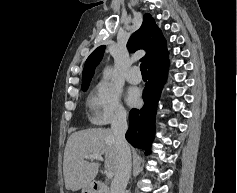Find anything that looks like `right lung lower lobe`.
Segmentation results:
<instances>
[{
	"label": "right lung lower lobe",
	"instance_id": "obj_1",
	"mask_svg": "<svg viewBox=\"0 0 237 193\" xmlns=\"http://www.w3.org/2000/svg\"><path fill=\"white\" fill-rule=\"evenodd\" d=\"M168 66L167 55L148 67L149 81L143 92L144 106L141 109H132L129 114L130 127L126 139L133 147L146 150V155L151 152L157 103L167 78Z\"/></svg>",
	"mask_w": 237,
	"mask_h": 193
}]
</instances>
